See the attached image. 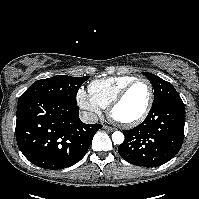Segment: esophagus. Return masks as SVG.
Returning a JSON list of instances; mask_svg holds the SVG:
<instances>
[{
	"label": "esophagus",
	"instance_id": "34e87169",
	"mask_svg": "<svg viewBox=\"0 0 199 199\" xmlns=\"http://www.w3.org/2000/svg\"><path fill=\"white\" fill-rule=\"evenodd\" d=\"M103 129H105V130H108V131H114V128H112V127H109V126H107V125H103Z\"/></svg>",
	"mask_w": 199,
	"mask_h": 199
}]
</instances>
